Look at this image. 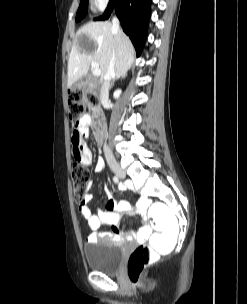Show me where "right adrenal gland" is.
<instances>
[{"instance_id":"1","label":"right adrenal gland","mask_w":247,"mask_h":304,"mask_svg":"<svg viewBox=\"0 0 247 304\" xmlns=\"http://www.w3.org/2000/svg\"><path fill=\"white\" fill-rule=\"evenodd\" d=\"M125 76H126V75L116 76V77L113 79L110 88L114 85V82H115L117 79H119V78H122V79H123V78H125Z\"/></svg>"}]
</instances>
